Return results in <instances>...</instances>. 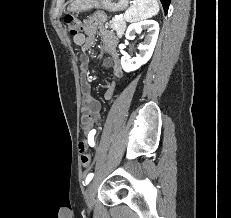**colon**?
Returning a JSON list of instances; mask_svg holds the SVG:
<instances>
[{"instance_id": "colon-1", "label": "colon", "mask_w": 231, "mask_h": 218, "mask_svg": "<svg viewBox=\"0 0 231 218\" xmlns=\"http://www.w3.org/2000/svg\"><path fill=\"white\" fill-rule=\"evenodd\" d=\"M64 22L67 28V31L69 32L70 35L76 36L79 34V32L82 30L83 25L82 23L74 16L71 14H68L64 18ZM81 163L84 167H90L91 165V156L89 153L81 149Z\"/></svg>"}]
</instances>
